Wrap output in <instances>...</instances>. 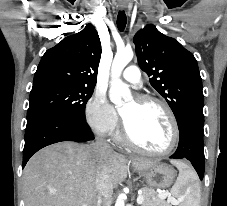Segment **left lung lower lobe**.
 <instances>
[{"label": "left lung lower lobe", "mask_w": 227, "mask_h": 206, "mask_svg": "<svg viewBox=\"0 0 227 206\" xmlns=\"http://www.w3.org/2000/svg\"><path fill=\"white\" fill-rule=\"evenodd\" d=\"M204 120L189 118L179 128V145L176 152L170 156L173 159L185 158L189 160L197 171L200 180L204 176V150H203Z\"/></svg>", "instance_id": "1"}]
</instances>
